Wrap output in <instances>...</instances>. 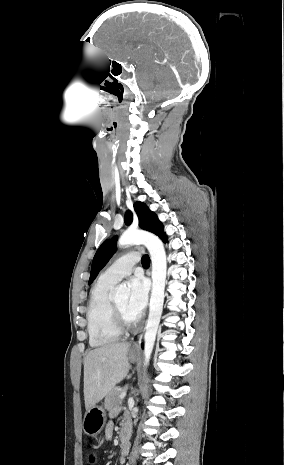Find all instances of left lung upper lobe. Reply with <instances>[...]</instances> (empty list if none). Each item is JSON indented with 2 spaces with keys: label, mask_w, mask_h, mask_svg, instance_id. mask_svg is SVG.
Here are the masks:
<instances>
[{
  "label": "left lung upper lobe",
  "mask_w": 284,
  "mask_h": 465,
  "mask_svg": "<svg viewBox=\"0 0 284 465\" xmlns=\"http://www.w3.org/2000/svg\"><path fill=\"white\" fill-rule=\"evenodd\" d=\"M134 209L137 213L139 225L142 229L155 233L162 240L166 238L162 223L157 219L156 214L149 210L146 204L136 202L134 203ZM131 222L132 213L127 211L125 213V223L126 225H129ZM116 241V237L108 239L104 241L97 250L92 262L89 284L92 283L99 271L106 265L115 252Z\"/></svg>",
  "instance_id": "5c2ea615"
}]
</instances>
